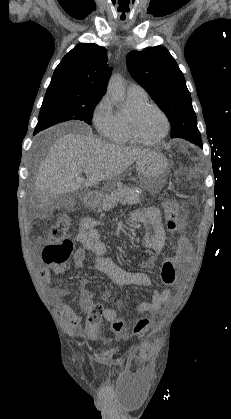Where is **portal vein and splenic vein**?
Returning a JSON list of instances; mask_svg holds the SVG:
<instances>
[{
    "label": "portal vein and splenic vein",
    "mask_w": 231,
    "mask_h": 419,
    "mask_svg": "<svg viewBox=\"0 0 231 419\" xmlns=\"http://www.w3.org/2000/svg\"><path fill=\"white\" fill-rule=\"evenodd\" d=\"M84 173H85V174H87V175H88V174H91V173H92V170L87 169V170H85V171H84Z\"/></svg>",
    "instance_id": "1"
}]
</instances>
